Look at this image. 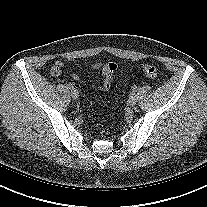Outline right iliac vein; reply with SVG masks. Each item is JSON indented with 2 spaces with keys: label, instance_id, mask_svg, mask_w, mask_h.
<instances>
[{
  "label": "right iliac vein",
  "instance_id": "1",
  "mask_svg": "<svg viewBox=\"0 0 207 207\" xmlns=\"http://www.w3.org/2000/svg\"><path fill=\"white\" fill-rule=\"evenodd\" d=\"M78 91L77 90H75V89H73L72 91H71V97L74 99V100H77L78 99Z\"/></svg>",
  "mask_w": 207,
  "mask_h": 207
}]
</instances>
